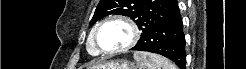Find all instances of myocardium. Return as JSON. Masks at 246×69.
<instances>
[{
    "mask_svg": "<svg viewBox=\"0 0 246 69\" xmlns=\"http://www.w3.org/2000/svg\"><path fill=\"white\" fill-rule=\"evenodd\" d=\"M110 21H120V22L124 23L126 26H128V28L130 29L131 37H130L129 41L126 44H124L123 46H121L120 48H116L113 50H105L102 48V46L99 43L98 33L102 29V27ZM93 38H94L95 44L99 47V52L101 54L113 55V54L121 53L123 51L129 50L130 48H132L139 39V30H138V27H137L135 21L132 20L131 18L124 16V15H119V14L111 15V16L105 18L103 21H101L95 27V29L93 31Z\"/></svg>",
    "mask_w": 246,
    "mask_h": 69,
    "instance_id": "myocardium-1",
    "label": "myocardium"
}]
</instances>
